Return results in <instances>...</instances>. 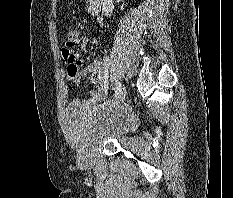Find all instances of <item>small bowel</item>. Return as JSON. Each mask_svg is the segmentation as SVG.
<instances>
[{
  "instance_id": "1",
  "label": "small bowel",
  "mask_w": 233,
  "mask_h": 198,
  "mask_svg": "<svg viewBox=\"0 0 233 198\" xmlns=\"http://www.w3.org/2000/svg\"><path fill=\"white\" fill-rule=\"evenodd\" d=\"M88 39L81 37L79 43L76 45L81 50L86 51ZM62 56L67 63V77L76 87H79L84 77L89 74H98L100 81L97 89L91 93L87 99L76 98L71 102V108L74 110L89 111L98 102L104 100L108 93V84L105 78V66L100 59H95L88 65L81 67L83 56L74 50L73 47L64 46L62 49Z\"/></svg>"
}]
</instances>
